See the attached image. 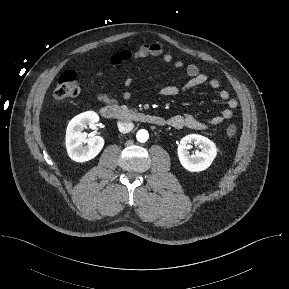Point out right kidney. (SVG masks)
Here are the masks:
<instances>
[{
  "label": "right kidney",
  "instance_id": "right-kidney-1",
  "mask_svg": "<svg viewBox=\"0 0 289 289\" xmlns=\"http://www.w3.org/2000/svg\"><path fill=\"white\" fill-rule=\"evenodd\" d=\"M99 121V116L92 111L75 116L66 130V149L69 157L76 162H86L95 158L104 146L101 136L86 138L83 130Z\"/></svg>",
  "mask_w": 289,
  "mask_h": 289
}]
</instances>
